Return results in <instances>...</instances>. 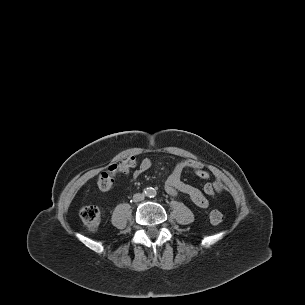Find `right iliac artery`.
Wrapping results in <instances>:
<instances>
[{
	"label": "right iliac artery",
	"mask_w": 305,
	"mask_h": 305,
	"mask_svg": "<svg viewBox=\"0 0 305 305\" xmlns=\"http://www.w3.org/2000/svg\"><path fill=\"white\" fill-rule=\"evenodd\" d=\"M144 195L149 196L151 194V188H146L143 192ZM132 202V200H131Z\"/></svg>",
	"instance_id": "obj_1"
}]
</instances>
